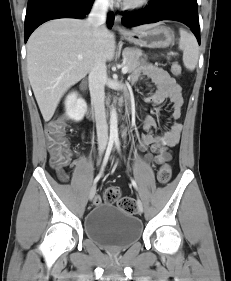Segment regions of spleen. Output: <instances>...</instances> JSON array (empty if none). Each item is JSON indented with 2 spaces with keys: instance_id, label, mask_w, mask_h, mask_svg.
<instances>
[{
  "instance_id": "1",
  "label": "spleen",
  "mask_w": 231,
  "mask_h": 281,
  "mask_svg": "<svg viewBox=\"0 0 231 281\" xmlns=\"http://www.w3.org/2000/svg\"><path fill=\"white\" fill-rule=\"evenodd\" d=\"M180 40L179 48L183 51V63L186 69L193 71L198 63L199 48L196 38L193 34L184 29L179 30Z\"/></svg>"
}]
</instances>
